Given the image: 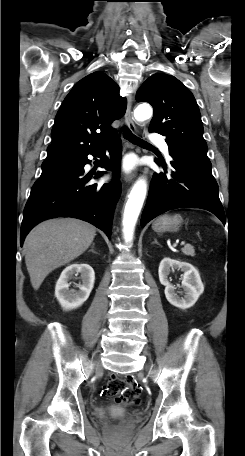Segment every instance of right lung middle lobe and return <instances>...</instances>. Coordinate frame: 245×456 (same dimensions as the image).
Wrapping results in <instances>:
<instances>
[{
    "instance_id": "obj_1",
    "label": "right lung middle lobe",
    "mask_w": 245,
    "mask_h": 456,
    "mask_svg": "<svg viewBox=\"0 0 245 456\" xmlns=\"http://www.w3.org/2000/svg\"><path fill=\"white\" fill-rule=\"evenodd\" d=\"M68 165L61 166V167H58V168H52V169H42V173L52 172V171H56V170H59V169H63V168H66Z\"/></svg>"
}]
</instances>
